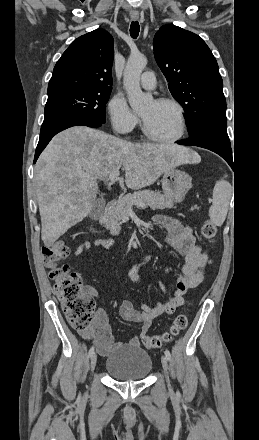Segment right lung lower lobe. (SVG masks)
Wrapping results in <instances>:
<instances>
[{"instance_id": "1", "label": "right lung lower lobe", "mask_w": 259, "mask_h": 440, "mask_svg": "<svg viewBox=\"0 0 259 440\" xmlns=\"http://www.w3.org/2000/svg\"><path fill=\"white\" fill-rule=\"evenodd\" d=\"M84 125L88 127H100L103 124L94 120L82 117H66L54 121L43 123L40 130V138L35 151L34 163L38 159L41 152L47 146L49 141L62 130L69 127Z\"/></svg>"}]
</instances>
